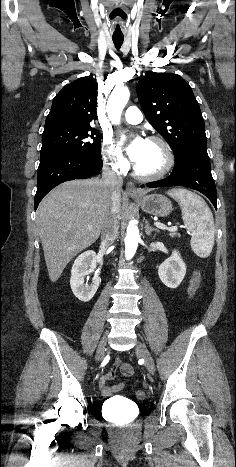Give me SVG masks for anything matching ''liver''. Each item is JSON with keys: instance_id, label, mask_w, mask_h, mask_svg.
<instances>
[{"instance_id": "1", "label": "liver", "mask_w": 236, "mask_h": 467, "mask_svg": "<svg viewBox=\"0 0 236 467\" xmlns=\"http://www.w3.org/2000/svg\"><path fill=\"white\" fill-rule=\"evenodd\" d=\"M116 200L120 219L124 202L120 191ZM111 205L112 194L99 178L64 182L40 202L36 222L51 282L98 239Z\"/></svg>"}]
</instances>
